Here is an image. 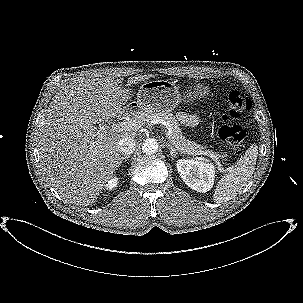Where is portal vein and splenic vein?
<instances>
[{
  "label": "portal vein and splenic vein",
  "mask_w": 303,
  "mask_h": 303,
  "mask_svg": "<svg viewBox=\"0 0 303 303\" xmlns=\"http://www.w3.org/2000/svg\"><path fill=\"white\" fill-rule=\"evenodd\" d=\"M156 122L162 123L163 121H159L156 120ZM168 125V124H167ZM137 127L138 128V122H132V121H123V122H119V123H114L112 124L109 128L112 131H117V130H129V129H133ZM106 128H103L102 131H105ZM168 135V141L174 145V143L172 142L171 139V132L169 131ZM175 147L182 153H184L183 149H181L180 147H178L177 145H175ZM198 155H207V153H198ZM208 156V155H207ZM213 160H216L215 158H213V156H210ZM216 164L218 165V167H221L220 162L216 161Z\"/></svg>",
  "instance_id": "obj_1"
}]
</instances>
